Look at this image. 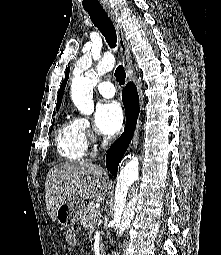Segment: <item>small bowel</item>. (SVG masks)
<instances>
[{"instance_id": "1", "label": "small bowel", "mask_w": 221, "mask_h": 255, "mask_svg": "<svg viewBox=\"0 0 221 255\" xmlns=\"http://www.w3.org/2000/svg\"><path fill=\"white\" fill-rule=\"evenodd\" d=\"M66 242L72 247H76L78 245L77 236L75 235V233L73 231H68L67 232Z\"/></svg>"}]
</instances>
